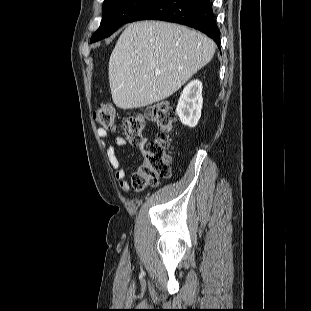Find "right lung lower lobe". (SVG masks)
I'll list each match as a JSON object with an SVG mask.
<instances>
[{"instance_id":"right-lung-lower-lobe-1","label":"right lung lower lobe","mask_w":311,"mask_h":311,"mask_svg":"<svg viewBox=\"0 0 311 311\" xmlns=\"http://www.w3.org/2000/svg\"><path fill=\"white\" fill-rule=\"evenodd\" d=\"M162 20L197 29L212 38L220 47V31L209 0H153L129 20Z\"/></svg>"}]
</instances>
